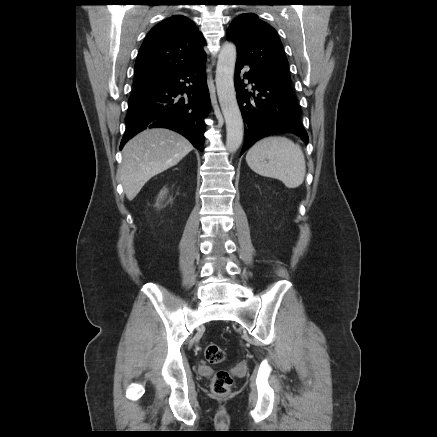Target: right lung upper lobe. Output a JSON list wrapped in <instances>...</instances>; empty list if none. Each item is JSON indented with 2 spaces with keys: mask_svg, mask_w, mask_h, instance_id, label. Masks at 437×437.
Instances as JSON below:
<instances>
[{
  "mask_svg": "<svg viewBox=\"0 0 437 437\" xmlns=\"http://www.w3.org/2000/svg\"><path fill=\"white\" fill-rule=\"evenodd\" d=\"M205 40L187 17L174 15L146 36L135 64V82L158 81L206 57Z\"/></svg>",
  "mask_w": 437,
  "mask_h": 437,
  "instance_id": "right-lung-upper-lobe-1",
  "label": "right lung upper lobe"
}]
</instances>
